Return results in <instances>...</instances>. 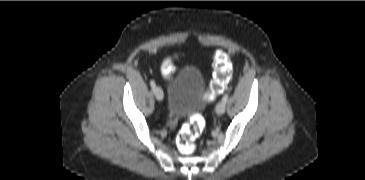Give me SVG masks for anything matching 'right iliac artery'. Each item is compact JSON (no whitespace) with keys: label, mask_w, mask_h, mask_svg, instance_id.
<instances>
[{"label":"right iliac artery","mask_w":365,"mask_h":180,"mask_svg":"<svg viewBox=\"0 0 365 180\" xmlns=\"http://www.w3.org/2000/svg\"><path fill=\"white\" fill-rule=\"evenodd\" d=\"M150 86L154 89L156 87V84L153 80L150 81Z\"/></svg>","instance_id":"right-iliac-artery-1"}]
</instances>
